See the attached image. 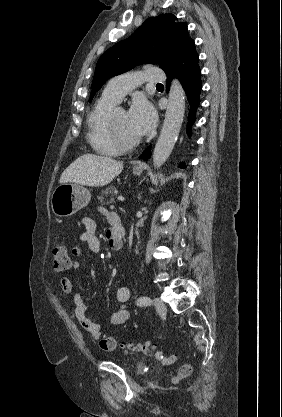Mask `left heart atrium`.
I'll return each instance as SVG.
<instances>
[{"label":"left heart atrium","mask_w":282,"mask_h":417,"mask_svg":"<svg viewBox=\"0 0 282 417\" xmlns=\"http://www.w3.org/2000/svg\"><path fill=\"white\" fill-rule=\"evenodd\" d=\"M128 122L137 135H143L153 129L156 113L147 101H137L128 113Z\"/></svg>","instance_id":"1"}]
</instances>
